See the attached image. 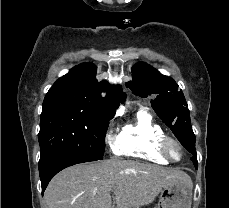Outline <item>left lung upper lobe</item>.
<instances>
[{"label": "left lung upper lobe", "instance_id": "obj_1", "mask_svg": "<svg viewBox=\"0 0 229 208\" xmlns=\"http://www.w3.org/2000/svg\"><path fill=\"white\" fill-rule=\"evenodd\" d=\"M132 74L133 81L126 86L133 94L141 97L156 94L157 98L151 100V105L160 119L170 127L182 145L195 142L188 105L176 82L144 62L136 63Z\"/></svg>", "mask_w": 229, "mask_h": 208}]
</instances>
